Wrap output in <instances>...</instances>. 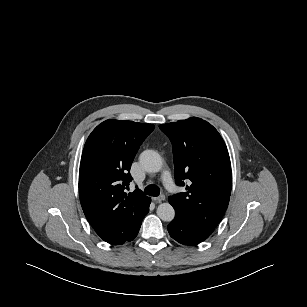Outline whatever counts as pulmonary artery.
Instances as JSON below:
<instances>
[{"mask_svg": "<svg viewBox=\"0 0 307 307\" xmlns=\"http://www.w3.org/2000/svg\"><path fill=\"white\" fill-rule=\"evenodd\" d=\"M162 182L167 190L171 192L175 191V185L169 171L163 173Z\"/></svg>", "mask_w": 307, "mask_h": 307, "instance_id": "pulmonary-artery-1", "label": "pulmonary artery"}]
</instances>
